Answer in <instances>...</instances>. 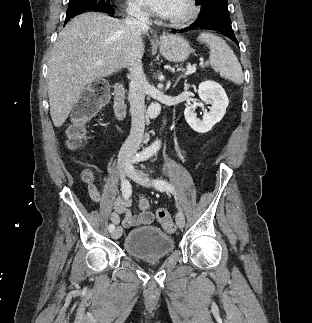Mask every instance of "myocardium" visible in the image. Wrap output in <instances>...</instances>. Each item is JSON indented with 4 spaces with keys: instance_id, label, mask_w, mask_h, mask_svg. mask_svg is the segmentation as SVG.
<instances>
[{
    "instance_id": "1",
    "label": "myocardium",
    "mask_w": 312,
    "mask_h": 323,
    "mask_svg": "<svg viewBox=\"0 0 312 323\" xmlns=\"http://www.w3.org/2000/svg\"><path fill=\"white\" fill-rule=\"evenodd\" d=\"M195 1L177 0L178 4H182L183 7L175 12L171 23L173 25H189L190 21H197L202 5H198Z\"/></svg>"
}]
</instances>
